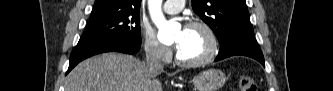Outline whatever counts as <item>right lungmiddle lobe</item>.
Segmentation results:
<instances>
[{
	"label": "right lung middle lobe",
	"instance_id": "obj_1",
	"mask_svg": "<svg viewBox=\"0 0 333 91\" xmlns=\"http://www.w3.org/2000/svg\"><path fill=\"white\" fill-rule=\"evenodd\" d=\"M82 37H118L131 43L141 44L139 11L90 18Z\"/></svg>",
	"mask_w": 333,
	"mask_h": 91
}]
</instances>
